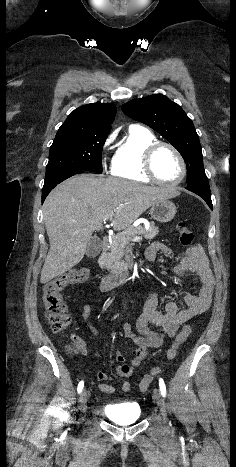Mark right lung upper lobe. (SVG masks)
<instances>
[{"label": "right lung upper lobe", "mask_w": 236, "mask_h": 467, "mask_svg": "<svg viewBox=\"0 0 236 467\" xmlns=\"http://www.w3.org/2000/svg\"><path fill=\"white\" fill-rule=\"evenodd\" d=\"M116 114V106L109 103H91L72 111L59 130L109 133Z\"/></svg>", "instance_id": "right-lung-upper-lobe-1"}]
</instances>
